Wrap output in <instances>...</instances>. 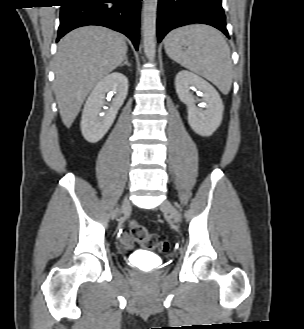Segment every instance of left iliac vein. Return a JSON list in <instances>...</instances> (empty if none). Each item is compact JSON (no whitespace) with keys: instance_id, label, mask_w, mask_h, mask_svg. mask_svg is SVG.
<instances>
[{"instance_id":"1","label":"left iliac vein","mask_w":304,"mask_h":329,"mask_svg":"<svg viewBox=\"0 0 304 329\" xmlns=\"http://www.w3.org/2000/svg\"><path fill=\"white\" fill-rule=\"evenodd\" d=\"M160 209L169 214L174 222L178 223L180 221V213L179 211L172 205V203L169 200H165L161 206Z\"/></svg>"}]
</instances>
